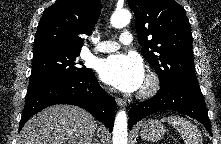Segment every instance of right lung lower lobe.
<instances>
[{
    "label": "right lung lower lobe",
    "instance_id": "right-lung-lower-lobe-1",
    "mask_svg": "<svg viewBox=\"0 0 221 144\" xmlns=\"http://www.w3.org/2000/svg\"><path fill=\"white\" fill-rule=\"evenodd\" d=\"M55 104L79 106L113 129L116 102L106 95L92 71L85 77L58 78L27 90L19 130L34 114Z\"/></svg>",
    "mask_w": 221,
    "mask_h": 144
}]
</instances>
